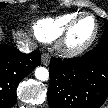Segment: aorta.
<instances>
[{
    "label": "aorta",
    "instance_id": "obj_1",
    "mask_svg": "<svg viewBox=\"0 0 108 108\" xmlns=\"http://www.w3.org/2000/svg\"><path fill=\"white\" fill-rule=\"evenodd\" d=\"M35 77L38 80L46 81L49 78V71L45 67H38L35 69Z\"/></svg>",
    "mask_w": 108,
    "mask_h": 108
}]
</instances>
